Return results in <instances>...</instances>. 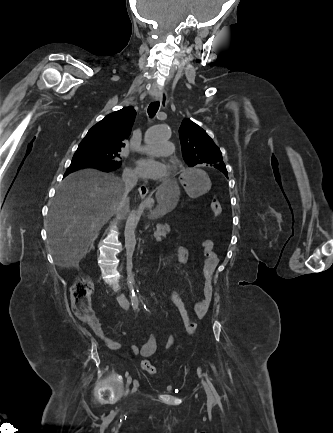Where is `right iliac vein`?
<instances>
[{
  "label": "right iliac vein",
  "mask_w": 333,
  "mask_h": 433,
  "mask_svg": "<svg viewBox=\"0 0 333 433\" xmlns=\"http://www.w3.org/2000/svg\"><path fill=\"white\" fill-rule=\"evenodd\" d=\"M131 381H132V378H131V376H129V377L127 378V385H128V386L130 385ZM138 387H139V383H138L137 380H135V381H134V386H133V388H132V393L136 392L137 389H138Z\"/></svg>",
  "instance_id": "right-iliac-vein-1"
}]
</instances>
